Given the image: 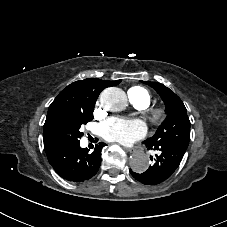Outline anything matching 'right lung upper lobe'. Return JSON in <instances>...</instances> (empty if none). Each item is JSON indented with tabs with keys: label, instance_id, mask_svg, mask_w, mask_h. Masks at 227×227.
Returning a JSON list of instances; mask_svg holds the SVG:
<instances>
[{
	"label": "right lung upper lobe",
	"instance_id": "1",
	"mask_svg": "<svg viewBox=\"0 0 227 227\" xmlns=\"http://www.w3.org/2000/svg\"><path fill=\"white\" fill-rule=\"evenodd\" d=\"M120 82L121 80L106 81L97 78H88L73 82L60 92L50 106L52 107L57 102L62 101L75 104H95L103 89L109 86H116Z\"/></svg>",
	"mask_w": 227,
	"mask_h": 227
}]
</instances>
